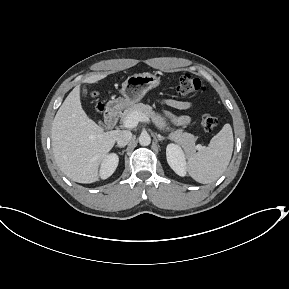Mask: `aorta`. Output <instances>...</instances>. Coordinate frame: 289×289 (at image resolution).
Returning <instances> with one entry per match:
<instances>
[{
  "label": "aorta",
  "mask_w": 289,
  "mask_h": 289,
  "mask_svg": "<svg viewBox=\"0 0 289 289\" xmlns=\"http://www.w3.org/2000/svg\"><path fill=\"white\" fill-rule=\"evenodd\" d=\"M151 143V137L149 134L144 133L139 136V144L142 146H148Z\"/></svg>",
  "instance_id": "aorta-1"
}]
</instances>
